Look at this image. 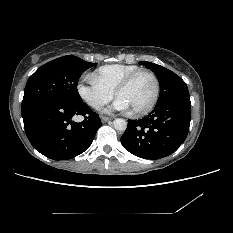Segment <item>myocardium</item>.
I'll return each instance as SVG.
<instances>
[{
	"label": "myocardium",
	"mask_w": 233,
	"mask_h": 233,
	"mask_svg": "<svg viewBox=\"0 0 233 233\" xmlns=\"http://www.w3.org/2000/svg\"><path fill=\"white\" fill-rule=\"evenodd\" d=\"M142 74H147L152 78V81L154 83V93H153V97L150 101V103L139 110H133L131 111V113L134 116H142L145 114H148L150 111H152V109L155 107L158 98H159V94H160V83H159V79L158 77L155 75V73H153L150 70L147 69H140L137 70L133 73H131L130 75H128L115 89L114 94L116 97H118L119 93L122 92L123 90H125L128 86L131 85V83L139 76Z\"/></svg>",
	"instance_id": "f54148a6"
}]
</instances>
